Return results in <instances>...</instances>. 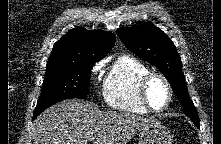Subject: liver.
Instances as JSON below:
<instances>
[{"label":"liver","mask_w":221,"mask_h":144,"mask_svg":"<svg viewBox=\"0 0 221 144\" xmlns=\"http://www.w3.org/2000/svg\"><path fill=\"white\" fill-rule=\"evenodd\" d=\"M155 122L154 118L128 112H103L92 102L70 99L36 118L34 144H126Z\"/></svg>","instance_id":"liver-1"}]
</instances>
